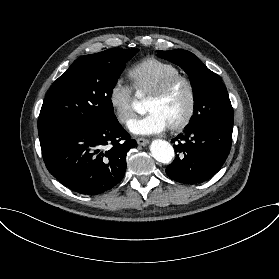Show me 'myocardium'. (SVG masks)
I'll use <instances>...</instances> for the list:
<instances>
[{
	"instance_id": "obj_1",
	"label": "myocardium",
	"mask_w": 279,
	"mask_h": 279,
	"mask_svg": "<svg viewBox=\"0 0 279 279\" xmlns=\"http://www.w3.org/2000/svg\"><path fill=\"white\" fill-rule=\"evenodd\" d=\"M185 83L189 90V105L187 112L182 120L170 125V128L174 131H179L184 129L189 125L194 117L197 105V93L196 87L192 79L184 74H178L166 79L153 93L150 94L149 98L158 100L166 96L169 91L174 88L179 83Z\"/></svg>"
}]
</instances>
